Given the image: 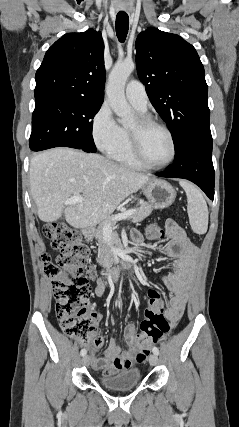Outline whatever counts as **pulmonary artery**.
I'll return each mask as SVG.
<instances>
[{
  "label": "pulmonary artery",
  "mask_w": 239,
  "mask_h": 427,
  "mask_svg": "<svg viewBox=\"0 0 239 427\" xmlns=\"http://www.w3.org/2000/svg\"><path fill=\"white\" fill-rule=\"evenodd\" d=\"M125 96L131 105L139 111H146L148 96L142 83L133 80L125 88Z\"/></svg>",
  "instance_id": "1"
}]
</instances>
